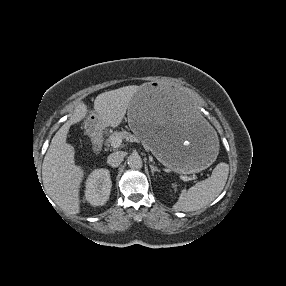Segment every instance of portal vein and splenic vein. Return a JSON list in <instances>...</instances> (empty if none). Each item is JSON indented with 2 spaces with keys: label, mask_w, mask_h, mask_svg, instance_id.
Here are the masks:
<instances>
[{
  "label": "portal vein and splenic vein",
  "mask_w": 286,
  "mask_h": 286,
  "mask_svg": "<svg viewBox=\"0 0 286 286\" xmlns=\"http://www.w3.org/2000/svg\"><path fill=\"white\" fill-rule=\"evenodd\" d=\"M122 143V139L120 137H114L111 141V146L113 148H118ZM180 178L186 182L191 181L192 178H190L189 176L186 175H180Z\"/></svg>",
  "instance_id": "portal-vein-and-splenic-vein-1"
}]
</instances>
